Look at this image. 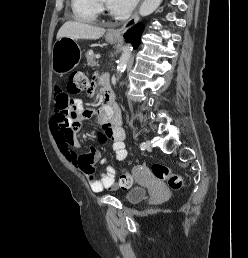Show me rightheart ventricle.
<instances>
[{
    "label": "right heart ventricle",
    "mask_w": 248,
    "mask_h": 258,
    "mask_svg": "<svg viewBox=\"0 0 248 258\" xmlns=\"http://www.w3.org/2000/svg\"><path fill=\"white\" fill-rule=\"evenodd\" d=\"M71 10L75 20L95 23L99 16L97 0H71Z\"/></svg>",
    "instance_id": "e07e8e85"
}]
</instances>
